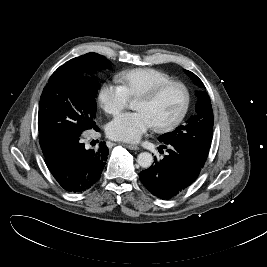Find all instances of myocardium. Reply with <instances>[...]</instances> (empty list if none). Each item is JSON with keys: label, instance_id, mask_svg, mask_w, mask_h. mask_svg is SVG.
Masks as SVG:
<instances>
[{"label": "myocardium", "instance_id": "f54148a6", "mask_svg": "<svg viewBox=\"0 0 267 267\" xmlns=\"http://www.w3.org/2000/svg\"><path fill=\"white\" fill-rule=\"evenodd\" d=\"M171 87H180L183 90L184 96H185L184 105L181 111L179 112V114L172 121L166 124H163V125L153 127V130L157 133H165V132L172 131L184 121L189 111L190 103H191V94H190L188 87L186 86V84H184L181 81L172 80V81L163 83L155 87L154 89L150 90L149 92L142 94L141 96L136 98V100H140L144 102H152L156 100L163 92H165L167 89Z\"/></svg>", "mask_w": 267, "mask_h": 267}]
</instances>
